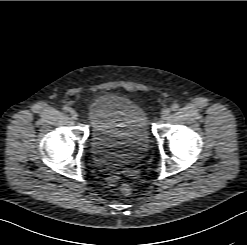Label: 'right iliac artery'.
I'll return each mask as SVG.
<instances>
[{
  "label": "right iliac artery",
  "instance_id": "82829eb1",
  "mask_svg": "<svg viewBox=\"0 0 247 245\" xmlns=\"http://www.w3.org/2000/svg\"><path fill=\"white\" fill-rule=\"evenodd\" d=\"M63 111H64V112H69V111H70V108H69L67 105H65V106L63 107Z\"/></svg>",
  "mask_w": 247,
  "mask_h": 245
}]
</instances>
